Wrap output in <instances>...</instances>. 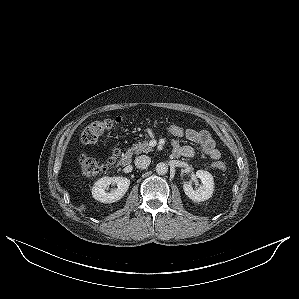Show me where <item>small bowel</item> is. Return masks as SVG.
Returning <instances> with one entry per match:
<instances>
[{
    "label": "small bowel",
    "instance_id": "obj_1",
    "mask_svg": "<svg viewBox=\"0 0 299 299\" xmlns=\"http://www.w3.org/2000/svg\"><path fill=\"white\" fill-rule=\"evenodd\" d=\"M185 138L200 145L202 152L213 160L219 161L221 159V152L217 149L214 139L207 130L187 128ZM173 152L175 155L183 157H192L195 154L192 146H181L177 141L173 142Z\"/></svg>",
    "mask_w": 299,
    "mask_h": 299
}]
</instances>
